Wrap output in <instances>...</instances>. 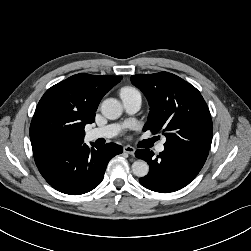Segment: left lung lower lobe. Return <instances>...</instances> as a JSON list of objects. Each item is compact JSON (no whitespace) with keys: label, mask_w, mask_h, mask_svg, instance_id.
<instances>
[{"label":"left lung lower lobe","mask_w":251,"mask_h":251,"mask_svg":"<svg viewBox=\"0 0 251 251\" xmlns=\"http://www.w3.org/2000/svg\"><path fill=\"white\" fill-rule=\"evenodd\" d=\"M164 147L157 157L149 149L137 150L135 155L149 164V173L139 179L140 184L155 192L170 193L187 186L197 176L209 150L199 146Z\"/></svg>","instance_id":"left-lung-lower-lobe-1"}]
</instances>
